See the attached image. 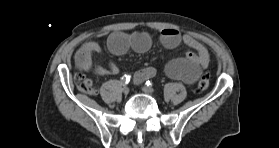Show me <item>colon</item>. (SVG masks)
<instances>
[{"label": "colon", "mask_w": 279, "mask_h": 148, "mask_svg": "<svg viewBox=\"0 0 279 148\" xmlns=\"http://www.w3.org/2000/svg\"><path fill=\"white\" fill-rule=\"evenodd\" d=\"M74 80H75L77 88L80 91L87 93V94L95 93V89L93 88L92 82L89 79H87L85 76H83L81 74H77V75H75ZM209 84H210L209 74L207 72H205L200 77L198 82L196 83L195 91L197 93H202L208 89Z\"/></svg>", "instance_id": "colon-1"}]
</instances>
